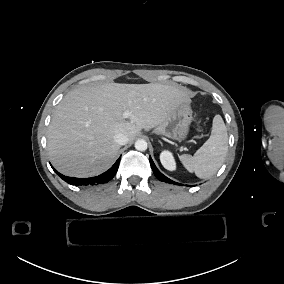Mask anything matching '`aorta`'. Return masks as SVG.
Here are the masks:
<instances>
[{
    "label": "aorta",
    "instance_id": "1",
    "mask_svg": "<svg viewBox=\"0 0 284 284\" xmlns=\"http://www.w3.org/2000/svg\"><path fill=\"white\" fill-rule=\"evenodd\" d=\"M147 142L144 139H139L135 142V148L138 151H145L147 149Z\"/></svg>",
    "mask_w": 284,
    "mask_h": 284
}]
</instances>
